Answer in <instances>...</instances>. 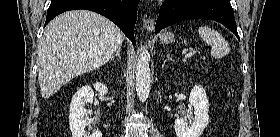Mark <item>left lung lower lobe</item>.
Returning <instances> with one entry per match:
<instances>
[{"label": "left lung lower lobe", "mask_w": 280, "mask_h": 137, "mask_svg": "<svg viewBox=\"0 0 280 137\" xmlns=\"http://www.w3.org/2000/svg\"><path fill=\"white\" fill-rule=\"evenodd\" d=\"M187 19L217 21L232 31L239 39L230 0H168L160 9L155 33Z\"/></svg>", "instance_id": "1"}]
</instances>
